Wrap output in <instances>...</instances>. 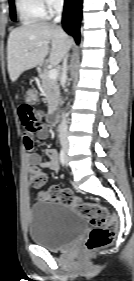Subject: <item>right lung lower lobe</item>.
I'll list each match as a JSON object with an SVG mask.
<instances>
[{"instance_id":"obj_1","label":"right lung lower lobe","mask_w":134,"mask_h":281,"mask_svg":"<svg viewBox=\"0 0 134 281\" xmlns=\"http://www.w3.org/2000/svg\"><path fill=\"white\" fill-rule=\"evenodd\" d=\"M82 0H65L63 12V27L64 30L75 38V41H80V21H81Z\"/></svg>"}]
</instances>
